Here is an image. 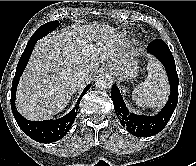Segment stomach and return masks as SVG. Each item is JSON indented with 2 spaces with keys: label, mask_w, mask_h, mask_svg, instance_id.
Instances as JSON below:
<instances>
[{
  "label": "stomach",
  "mask_w": 196,
  "mask_h": 166,
  "mask_svg": "<svg viewBox=\"0 0 196 166\" xmlns=\"http://www.w3.org/2000/svg\"><path fill=\"white\" fill-rule=\"evenodd\" d=\"M111 69L117 76L125 79H133L138 73L136 62L132 57L117 59Z\"/></svg>",
  "instance_id": "stomach-1"
}]
</instances>
